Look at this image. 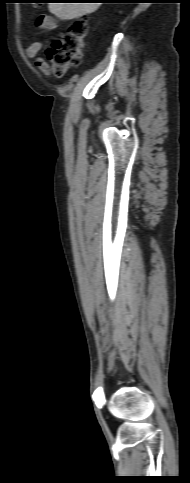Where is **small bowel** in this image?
I'll use <instances>...</instances> for the list:
<instances>
[{"label":"small bowel","mask_w":190,"mask_h":483,"mask_svg":"<svg viewBox=\"0 0 190 483\" xmlns=\"http://www.w3.org/2000/svg\"><path fill=\"white\" fill-rule=\"evenodd\" d=\"M36 26L44 30H54L58 27L57 21L49 14H40L36 18ZM42 44L39 41H33L30 43L26 50V54L29 58H36V65L43 71L47 72L48 64L43 57L38 56Z\"/></svg>","instance_id":"c3829d8e"}]
</instances>
